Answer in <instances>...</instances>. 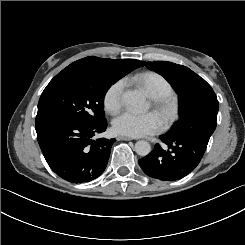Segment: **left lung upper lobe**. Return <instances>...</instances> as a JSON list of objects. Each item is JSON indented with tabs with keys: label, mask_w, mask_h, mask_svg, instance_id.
Instances as JSON below:
<instances>
[{
	"label": "left lung upper lobe",
	"mask_w": 245,
	"mask_h": 245,
	"mask_svg": "<svg viewBox=\"0 0 245 245\" xmlns=\"http://www.w3.org/2000/svg\"><path fill=\"white\" fill-rule=\"evenodd\" d=\"M145 66L162 75L177 91L182 105L183 123L188 115H198L199 110L218 102L211 86L189 68L167 61L144 62Z\"/></svg>",
	"instance_id": "obj_1"
}]
</instances>
